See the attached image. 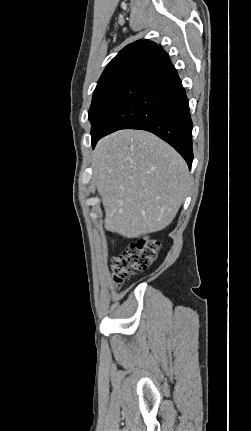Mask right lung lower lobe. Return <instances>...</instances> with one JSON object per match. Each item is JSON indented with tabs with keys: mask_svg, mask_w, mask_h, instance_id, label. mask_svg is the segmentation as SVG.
<instances>
[{
	"mask_svg": "<svg viewBox=\"0 0 251 431\" xmlns=\"http://www.w3.org/2000/svg\"><path fill=\"white\" fill-rule=\"evenodd\" d=\"M120 129L152 132L170 144L191 168L192 120L188 99L168 54L161 49L149 62L141 79L124 99L93 147L105 135Z\"/></svg>",
	"mask_w": 251,
	"mask_h": 431,
	"instance_id": "1",
	"label": "right lung lower lobe"
}]
</instances>
